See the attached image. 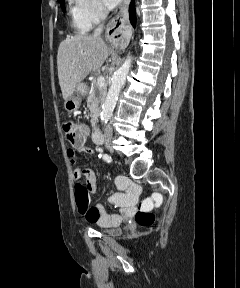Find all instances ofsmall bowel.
<instances>
[{
	"instance_id": "1",
	"label": "small bowel",
	"mask_w": 240,
	"mask_h": 288,
	"mask_svg": "<svg viewBox=\"0 0 240 288\" xmlns=\"http://www.w3.org/2000/svg\"><path fill=\"white\" fill-rule=\"evenodd\" d=\"M84 129L86 139L67 150L68 159L72 164L76 161V151L93 154L92 149L84 146L88 137V130L85 127ZM81 177H85L86 183L83 184L79 182L75 185V201L79 213L86 222L96 223L103 227H112L119 225L124 218L130 217L133 214L137 204L138 190L128 180L124 178L116 179V186L120 191L114 193L110 201L120 208V212L118 214H108L101 204L90 206V194H94L97 189L94 171L91 169L75 168L73 170V178L78 180Z\"/></svg>"
}]
</instances>
